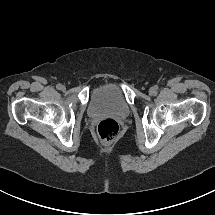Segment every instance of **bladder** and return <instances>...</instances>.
<instances>
[{"instance_id": "bladder-1", "label": "bladder", "mask_w": 215, "mask_h": 215, "mask_svg": "<svg viewBox=\"0 0 215 215\" xmlns=\"http://www.w3.org/2000/svg\"><path fill=\"white\" fill-rule=\"evenodd\" d=\"M88 111L92 116L111 114L117 117H127L131 108L120 88L108 83L100 85L92 91Z\"/></svg>"}]
</instances>
